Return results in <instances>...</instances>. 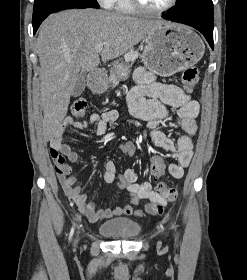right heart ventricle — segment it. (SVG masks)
<instances>
[{"label":"right heart ventricle","instance_id":"e07e8e85","mask_svg":"<svg viewBox=\"0 0 247 280\" xmlns=\"http://www.w3.org/2000/svg\"><path fill=\"white\" fill-rule=\"evenodd\" d=\"M113 6L117 11L122 13H132L135 10L129 0H115Z\"/></svg>","mask_w":247,"mask_h":280}]
</instances>
